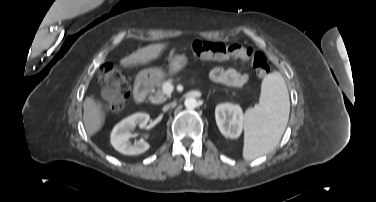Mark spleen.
<instances>
[{
  "instance_id": "obj_1",
  "label": "spleen",
  "mask_w": 376,
  "mask_h": 202,
  "mask_svg": "<svg viewBox=\"0 0 376 202\" xmlns=\"http://www.w3.org/2000/svg\"><path fill=\"white\" fill-rule=\"evenodd\" d=\"M289 113V94L282 75L278 71L266 75L261 85L259 104L245 113V160L266 154L279 143Z\"/></svg>"
}]
</instances>
